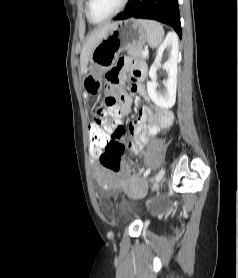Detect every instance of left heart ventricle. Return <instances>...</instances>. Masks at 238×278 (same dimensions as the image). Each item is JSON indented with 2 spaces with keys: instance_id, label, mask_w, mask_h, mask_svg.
Wrapping results in <instances>:
<instances>
[{
  "instance_id": "left-heart-ventricle-1",
  "label": "left heart ventricle",
  "mask_w": 238,
  "mask_h": 278,
  "mask_svg": "<svg viewBox=\"0 0 238 278\" xmlns=\"http://www.w3.org/2000/svg\"><path fill=\"white\" fill-rule=\"evenodd\" d=\"M122 0H92L91 15L95 19H102L113 13Z\"/></svg>"
}]
</instances>
